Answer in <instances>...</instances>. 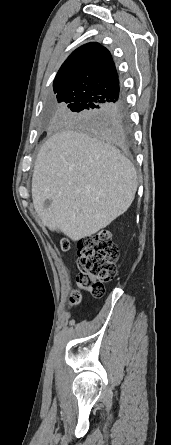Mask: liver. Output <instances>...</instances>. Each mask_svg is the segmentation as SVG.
Segmentation results:
<instances>
[{"instance_id": "6515ba94", "label": "liver", "mask_w": 171, "mask_h": 445, "mask_svg": "<svg viewBox=\"0 0 171 445\" xmlns=\"http://www.w3.org/2000/svg\"><path fill=\"white\" fill-rule=\"evenodd\" d=\"M137 187L134 165L115 146L65 129L38 153L32 199L43 225L77 241L126 212ZM47 199L51 204L45 208Z\"/></svg>"}]
</instances>
